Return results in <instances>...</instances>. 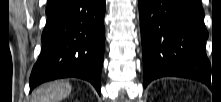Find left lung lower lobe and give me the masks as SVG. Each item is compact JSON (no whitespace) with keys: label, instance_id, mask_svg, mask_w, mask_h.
Returning <instances> with one entry per match:
<instances>
[{"label":"left lung lower lobe","instance_id":"left-lung-lower-lobe-1","mask_svg":"<svg viewBox=\"0 0 221 102\" xmlns=\"http://www.w3.org/2000/svg\"><path fill=\"white\" fill-rule=\"evenodd\" d=\"M144 87L176 76L210 84L205 51L208 32L200 0H138Z\"/></svg>","mask_w":221,"mask_h":102}]
</instances>
